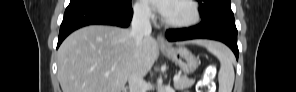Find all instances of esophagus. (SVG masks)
<instances>
[{
	"instance_id": "obj_1",
	"label": "esophagus",
	"mask_w": 296,
	"mask_h": 92,
	"mask_svg": "<svg viewBox=\"0 0 296 92\" xmlns=\"http://www.w3.org/2000/svg\"><path fill=\"white\" fill-rule=\"evenodd\" d=\"M156 41H157V44L161 47H168L169 46L162 34L157 35Z\"/></svg>"
}]
</instances>
